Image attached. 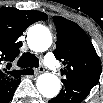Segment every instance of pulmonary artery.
<instances>
[{
  "mask_svg": "<svg viewBox=\"0 0 103 103\" xmlns=\"http://www.w3.org/2000/svg\"><path fill=\"white\" fill-rule=\"evenodd\" d=\"M45 62L52 70H56L55 59H54V56L51 53H48L45 56Z\"/></svg>",
  "mask_w": 103,
  "mask_h": 103,
  "instance_id": "1",
  "label": "pulmonary artery"
}]
</instances>
